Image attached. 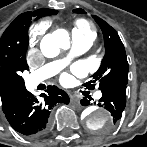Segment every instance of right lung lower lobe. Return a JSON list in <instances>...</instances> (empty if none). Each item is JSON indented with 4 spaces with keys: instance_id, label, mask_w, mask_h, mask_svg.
Here are the masks:
<instances>
[{
    "instance_id": "right-lung-lower-lobe-1",
    "label": "right lung lower lobe",
    "mask_w": 147,
    "mask_h": 147,
    "mask_svg": "<svg viewBox=\"0 0 147 147\" xmlns=\"http://www.w3.org/2000/svg\"><path fill=\"white\" fill-rule=\"evenodd\" d=\"M38 100L28 92L22 99L3 108V112L14 130L30 137H38L48 129L51 108L56 103H69L67 93L56 86H48L46 94Z\"/></svg>"
}]
</instances>
